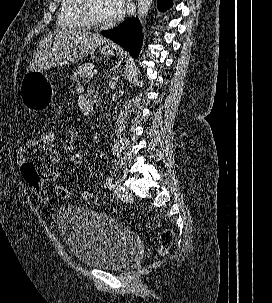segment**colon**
I'll return each instance as SVG.
<instances>
[{
	"label": "colon",
	"instance_id": "obj_1",
	"mask_svg": "<svg viewBox=\"0 0 272 303\" xmlns=\"http://www.w3.org/2000/svg\"><path fill=\"white\" fill-rule=\"evenodd\" d=\"M38 142L45 148H55L57 135L55 130L50 126H45L37 135ZM84 165V155L82 152L77 151L70 155L69 166L72 172H76L82 169ZM21 174L28 185L38 194L43 195V185L47 181L46 176H40L37 174L35 167L32 164L25 163L21 166ZM56 194L61 198H67L71 196L72 191L59 184L56 186ZM83 200L88 205H95L97 202V197L95 194L84 191L82 193ZM173 241V233L170 229H165L160 233L158 242V253L163 255L170 248Z\"/></svg>",
	"mask_w": 272,
	"mask_h": 303
}]
</instances>
